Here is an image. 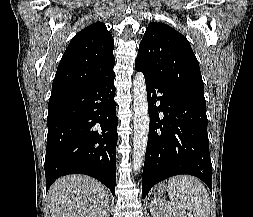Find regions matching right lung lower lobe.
<instances>
[{
	"label": "right lung lower lobe",
	"instance_id": "1",
	"mask_svg": "<svg viewBox=\"0 0 253 217\" xmlns=\"http://www.w3.org/2000/svg\"><path fill=\"white\" fill-rule=\"evenodd\" d=\"M113 70L79 89L51 96L47 117L46 190L60 176L86 174L115 195L118 139Z\"/></svg>",
	"mask_w": 253,
	"mask_h": 217
}]
</instances>
